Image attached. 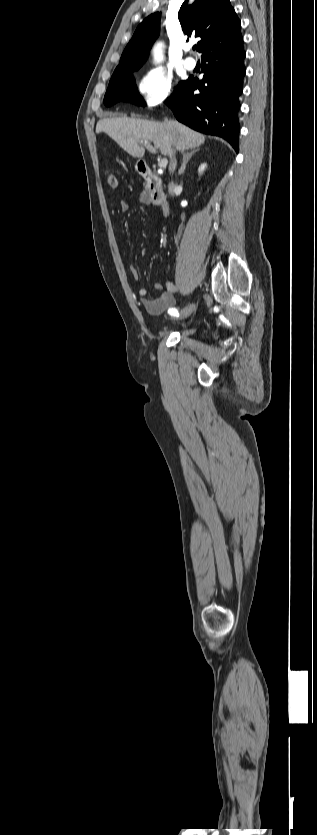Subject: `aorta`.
<instances>
[{"mask_svg":"<svg viewBox=\"0 0 317 835\" xmlns=\"http://www.w3.org/2000/svg\"><path fill=\"white\" fill-rule=\"evenodd\" d=\"M154 61L161 62L164 59L163 44L157 43L153 48Z\"/></svg>","mask_w":317,"mask_h":835,"instance_id":"1","label":"aorta"}]
</instances>
